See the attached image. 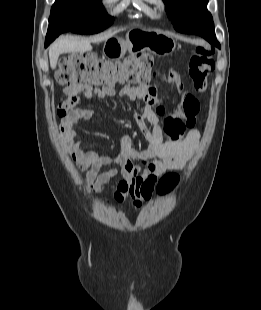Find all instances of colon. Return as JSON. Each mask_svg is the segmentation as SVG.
I'll return each instance as SVG.
<instances>
[{
    "instance_id": "colon-1",
    "label": "colon",
    "mask_w": 261,
    "mask_h": 310,
    "mask_svg": "<svg viewBox=\"0 0 261 310\" xmlns=\"http://www.w3.org/2000/svg\"><path fill=\"white\" fill-rule=\"evenodd\" d=\"M214 51L199 46L189 58V76L197 91H203L208 76L214 70ZM152 59L147 54L129 55L121 61H109L93 54L73 53L61 59L56 79L59 85L72 87L78 84L98 90L111 89L119 85L144 84L151 79ZM73 106L68 98H62L58 114L64 117ZM178 175L168 173L160 181V187L173 186Z\"/></svg>"
}]
</instances>
